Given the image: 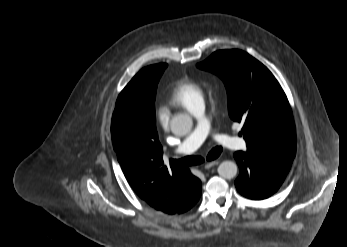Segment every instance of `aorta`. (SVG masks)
Wrapping results in <instances>:
<instances>
[{
    "label": "aorta",
    "mask_w": 347,
    "mask_h": 247,
    "mask_svg": "<svg viewBox=\"0 0 347 247\" xmlns=\"http://www.w3.org/2000/svg\"><path fill=\"white\" fill-rule=\"evenodd\" d=\"M171 131L178 136L188 134L193 126L192 117L188 114H177L171 120ZM237 164L233 161H223L218 167V173L222 178L232 179L237 174Z\"/></svg>",
    "instance_id": "obj_1"
}]
</instances>
